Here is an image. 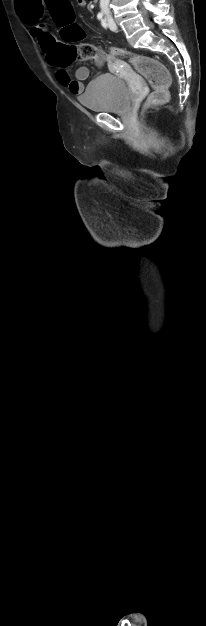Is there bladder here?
I'll return each mask as SVG.
<instances>
[{
    "mask_svg": "<svg viewBox=\"0 0 206 626\" xmlns=\"http://www.w3.org/2000/svg\"><path fill=\"white\" fill-rule=\"evenodd\" d=\"M130 100L125 81L113 75L99 76L79 96V102L94 112H123L129 107Z\"/></svg>",
    "mask_w": 206,
    "mask_h": 626,
    "instance_id": "31cf9c89",
    "label": "bladder"
}]
</instances>
